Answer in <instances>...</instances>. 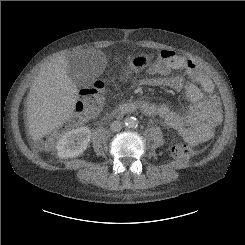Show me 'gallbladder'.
<instances>
[{
    "label": "gallbladder",
    "mask_w": 245,
    "mask_h": 245,
    "mask_svg": "<svg viewBox=\"0 0 245 245\" xmlns=\"http://www.w3.org/2000/svg\"><path fill=\"white\" fill-rule=\"evenodd\" d=\"M85 55H72L68 57L69 74L77 86H81L90 80V73L83 68Z\"/></svg>",
    "instance_id": "bac80fb5"
}]
</instances>
